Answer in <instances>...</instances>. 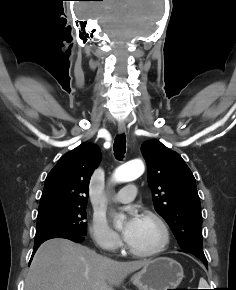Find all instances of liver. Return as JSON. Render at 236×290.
<instances>
[{"label": "liver", "mask_w": 236, "mask_h": 290, "mask_svg": "<svg viewBox=\"0 0 236 290\" xmlns=\"http://www.w3.org/2000/svg\"><path fill=\"white\" fill-rule=\"evenodd\" d=\"M148 262H119L70 240L50 239L36 251L24 290H114Z\"/></svg>", "instance_id": "1"}]
</instances>
